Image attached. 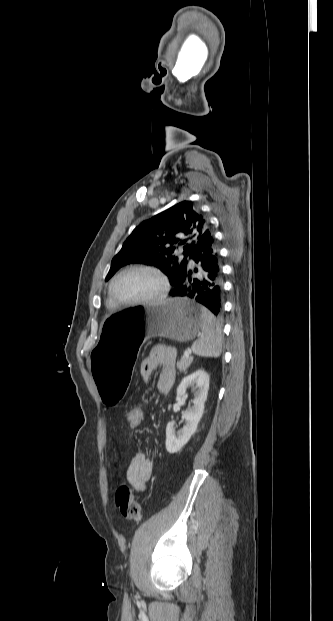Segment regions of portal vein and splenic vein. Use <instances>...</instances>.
Instances as JSON below:
<instances>
[{
    "label": "portal vein and splenic vein",
    "mask_w": 333,
    "mask_h": 621,
    "mask_svg": "<svg viewBox=\"0 0 333 621\" xmlns=\"http://www.w3.org/2000/svg\"><path fill=\"white\" fill-rule=\"evenodd\" d=\"M184 356H185V357H189V356H190V352H189V351H187V350H185V351H184Z\"/></svg>",
    "instance_id": "18ae733b"
}]
</instances>
